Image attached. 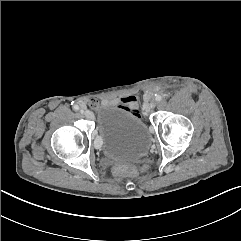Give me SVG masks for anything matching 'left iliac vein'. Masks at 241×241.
I'll list each match as a JSON object with an SVG mask.
<instances>
[{
    "instance_id": "4c4485c4",
    "label": "left iliac vein",
    "mask_w": 241,
    "mask_h": 241,
    "mask_svg": "<svg viewBox=\"0 0 241 241\" xmlns=\"http://www.w3.org/2000/svg\"><path fill=\"white\" fill-rule=\"evenodd\" d=\"M155 106H156V102L152 101L151 103L145 105V110L149 111L153 109Z\"/></svg>"
}]
</instances>
